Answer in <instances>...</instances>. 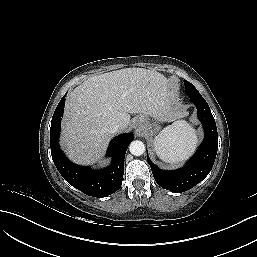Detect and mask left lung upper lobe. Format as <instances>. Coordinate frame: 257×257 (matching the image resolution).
<instances>
[{"label":"left lung upper lobe","mask_w":257,"mask_h":257,"mask_svg":"<svg viewBox=\"0 0 257 257\" xmlns=\"http://www.w3.org/2000/svg\"><path fill=\"white\" fill-rule=\"evenodd\" d=\"M186 94L189 97L203 98L198 90L188 81L184 80Z\"/></svg>","instance_id":"left-lung-upper-lobe-1"}]
</instances>
